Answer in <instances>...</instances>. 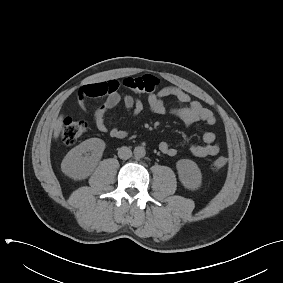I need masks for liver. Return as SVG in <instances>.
Here are the masks:
<instances>
[{"mask_svg": "<svg viewBox=\"0 0 283 283\" xmlns=\"http://www.w3.org/2000/svg\"><path fill=\"white\" fill-rule=\"evenodd\" d=\"M63 117L60 116L54 123V138L57 139L62 132Z\"/></svg>", "mask_w": 283, "mask_h": 283, "instance_id": "6515ba94", "label": "liver"}]
</instances>
